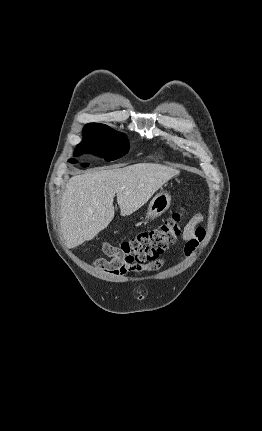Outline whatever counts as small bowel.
<instances>
[{
    "mask_svg": "<svg viewBox=\"0 0 262 431\" xmlns=\"http://www.w3.org/2000/svg\"><path fill=\"white\" fill-rule=\"evenodd\" d=\"M201 219L199 216H193L189 222L186 224L182 234L181 239L185 242L184 253L185 257L188 258L197 248L199 242L204 238L205 231L203 228L198 227ZM164 264V259H158L148 264H134L126 265L121 264L117 260H108L104 258H99L95 261V265L103 270L110 276L122 277L126 275L129 271L134 272H152L160 269Z\"/></svg>",
    "mask_w": 262,
    "mask_h": 431,
    "instance_id": "1",
    "label": "small bowel"
}]
</instances>
